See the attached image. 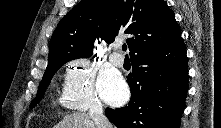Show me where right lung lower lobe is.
<instances>
[{"label": "right lung lower lobe", "mask_w": 221, "mask_h": 128, "mask_svg": "<svg viewBox=\"0 0 221 128\" xmlns=\"http://www.w3.org/2000/svg\"><path fill=\"white\" fill-rule=\"evenodd\" d=\"M131 99L122 108H106L118 128H179L188 91V64L182 37L174 44L131 58Z\"/></svg>", "instance_id": "obj_1"}]
</instances>
